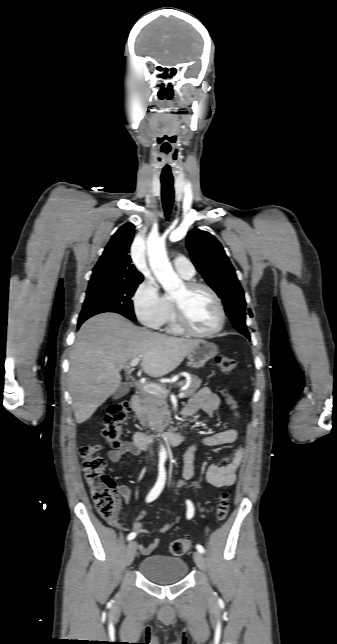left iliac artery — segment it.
Masks as SVG:
<instances>
[{"label": "left iliac artery", "instance_id": "1", "mask_svg": "<svg viewBox=\"0 0 337 644\" xmlns=\"http://www.w3.org/2000/svg\"><path fill=\"white\" fill-rule=\"evenodd\" d=\"M186 504H187V518L191 519L193 517V515H194V507H193V504H192V502L190 500H187ZM196 549L201 553L205 552V550H204L202 545H199V544L196 545Z\"/></svg>", "mask_w": 337, "mask_h": 644}]
</instances>
